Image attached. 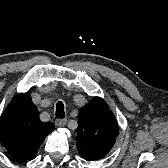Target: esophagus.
Returning a JSON list of instances; mask_svg holds the SVG:
<instances>
[{"mask_svg":"<svg viewBox=\"0 0 168 168\" xmlns=\"http://www.w3.org/2000/svg\"><path fill=\"white\" fill-rule=\"evenodd\" d=\"M66 123H67V120H66V119H57V120L55 121V124H56L57 126H65Z\"/></svg>","mask_w":168,"mask_h":168,"instance_id":"34e87169","label":"esophagus"}]
</instances>
